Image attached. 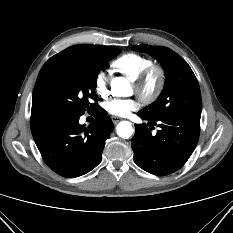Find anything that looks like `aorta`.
<instances>
[{"label":"aorta","mask_w":233,"mask_h":233,"mask_svg":"<svg viewBox=\"0 0 233 233\" xmlns=\"http://www.w3.org/2000/svg\"><path fill=\"white\" fill-rule=\"evenodd\" d=\"M111 88L117 96H125L129 92L130 84L125 78L116 77L111 82ZM116 131L119 137L128 139L133 134V127L129 121H121Z\"/></svg>","instance_id":"762f6f07"}]
</instances>
